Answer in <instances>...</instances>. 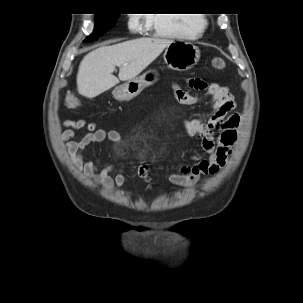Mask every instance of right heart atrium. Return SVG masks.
<instances>
[{
    "label": "right heart atrium",
    "instance_id": "right-heart-atrium-1",
    "mask_svg": "<svg viewBox=\"0 0 303 303\" xmlns=\"http://www.w3.org/2000/svg\"><path fill=\"white\" fill-rule=\"evenodd\" d=\"M141 15L140 14H132L129 19V26L132 29H137L140 25Z\"/></svg>",
    "mask_w": 303,
    "mask_h": 303
}]
</instances>
